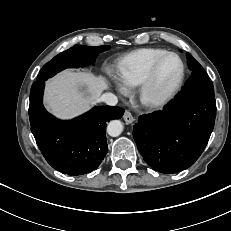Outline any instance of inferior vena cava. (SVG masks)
<instances>
[{
  "label": "inferior vena cava",
  "mask_w": 231,
  "mask_h": 231,
  "mask_svg": "<svg viewBox=\"0 0 231 231\" xmlns=\"http://www.w3.org/2000/svg\"><path fill=\"white\" fill-rule=\"evenodd\" d=\"M99 100L107 105L114 106L118 102V98L113 93H104Z\"/></svg>",
  "instance_id": "inferior-vena-cava-1"
}]
</instances>
